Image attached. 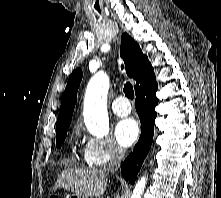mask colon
<instances>
[{
  "label": "colon",
  "instance_id": "1",
  "mask_svg": "<svg viewBox=\"0 0 221 198\" xmlns=\"http://www.w3.org/2000/svg\"><path fill=\"white\" fill-rule=\"evenodd\" d=\"M50 198H59L58 196H56V195H53V196H51Z\"/></svg>",
  "mask_w": 221,
  "mask_h": 198
}]
</instances>
